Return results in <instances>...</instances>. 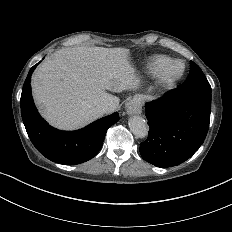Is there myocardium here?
<instances>
[{
	"mask_svg": "<svg viewBox=\"0 0 232 232\" xmlns=\"http://www.w3.org/2000/svg\"><path fill=\"white\" fill-rule=\"evenodd\" d=\"M185 68L184 62H172L168 68L158 76V83L162 86H166L179 80L183 76Z\"/></svg>",
	"mask_w": 232,
	"mask_h": 232,
	"instance_id": "obj_1",
	"label": "myocardium"
}]
</instances>
